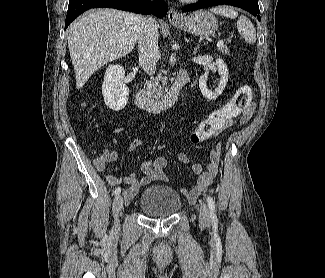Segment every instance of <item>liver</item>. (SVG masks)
I'll use <instances>...</instances> for the list:
<instances>
[{"instance_id":"1","label":"liver","mask_w":325,"mask_h":278,"mask_svg":"<svg viewBox=\"0 0 325 278\" xmlns=\"http://www.w3.org/2000/svg\"><path fill=\"white\" fill-rule=\"evenodd\" d=\"M142 21L143 17L134 13L96 9L70 26L68 47L77 89L99 68L133 50Z\"/></svg>"}]
</instances>
